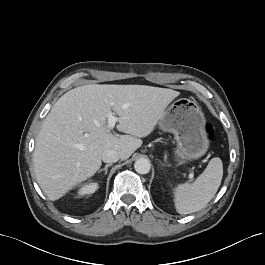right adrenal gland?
Returning a JSON list of instances; mask_svg holds the SVG:
<instances>
[{"label":"right adrenal gland","instance_id":"right-adrenal-gland-1","mask_svg":"<svg viewBox=\"0 0 265 265\" xmlns=\"http://www.w3.org/2000/svg\"><path fill=\"white\" fill-rule=\"evenodd\" d=\"M112 166V164H106L104 168H101L99 171H98V174L101 173L102 171H104V174L107 175V172H108V167Z\"/></svg>","mask_w":265,"mask_h":265}]
</instances>
